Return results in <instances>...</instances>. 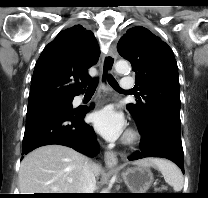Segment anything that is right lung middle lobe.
Instances as JSON below:
<instances>
[{
  "label": "right lung middle lobe",
  "mask_w": 208,
  "mask_h": 198,
  "mask_svg": "<svg viewBox=\"0 0 208 198\" xmlns=\"http://www.w3.org/2000/svg\"><path fill=\"white\" fill-rule=\"evenodd\" d=\"M51 106H64V107L72 108V99L50 101V102L39 104L37 106L29 107L28 110L36 108V107H51Z\"/></svg>",
  "instance_id": "dd1d6c3e"
}]
</instances>
